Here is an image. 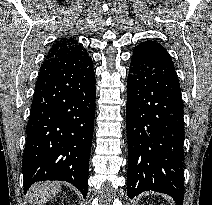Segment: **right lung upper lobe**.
<instances>
[{"label": "right lung upper lobe", "instance_id": "right-lung-upper-lobe-1", "mask_svg": "<svg viewBox=\"0 0 212 205\" xmlns=\"http://www.w3.org/2000/svg\"><path fill=\"white\" fill-rule=\"evenodd\" d=\"M71 55H87V52L74 37L61 38L60 41L50 48L46 55V59Z\"/></svg>", "mask_w": 212, "mask_h": 205}]
</instances>
